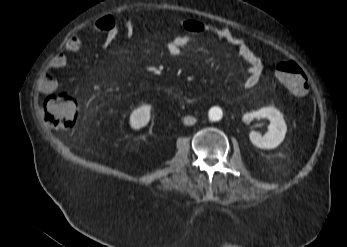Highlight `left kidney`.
Segmentation results:
<instances>
[{
  "instance_id": "5707ae66",
  "label": "left kidney",
  "mask_w": 347,
  "mask_h": 247,
  "mask_svg": "<svg viewBox=\"0 0 347 247\" xmlns=\"http://www.w3.org/2000/svg\"><path fill=\"white\" fill-rule=\"evenodd\" d=\"M254 118H266L270 121V125L269 131L263 136L252 131L249 135L251 142L261 149L276 148L284 140L287 132V126L280 111L273 107H264L243 116L244 122H251Z\"/></svg>"
}]
</instances>
